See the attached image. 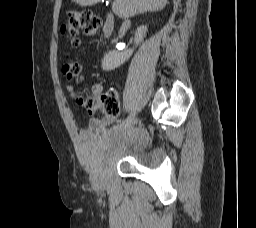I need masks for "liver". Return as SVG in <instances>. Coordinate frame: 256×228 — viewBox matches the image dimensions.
<instances>
[{
    "label": "liver",
    "instance_id": "6515ba94",
    "mask_svg": "<svg viewBox=\"0 0 256 228\" xmlns=\"http://www.w3.org/2000/svg\"><path fill=\"white\" fill-rule=\"evenodd\" d=\"M82 7L98 3L100 0H71ZM167 0H114L112 10L120 18L133 17L147 11L155 12L162 10Z\"/></svg>",
    "mask_w": 256,
    "mask_h": 228
}]
</instances>
